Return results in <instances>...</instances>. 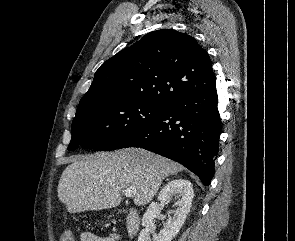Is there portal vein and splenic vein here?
<instances>
[{
	"label": "portal vein and splenic vein",
	"instance_id": "1",
	"mask_svg": "<svg viewBox=\"0 0 295 241\" xmlns=\"http://www.w3.org/2000/svg\"><path fill=\"white\" fill-rule=\"evenodd\" d=\"M136 192L137 190L134 187H129L122 191V193H124V195L127 197H133L136 194Z\"/></svg>",
	"mask_w": 295,
	"mask_h": 241
}]
</instances>
